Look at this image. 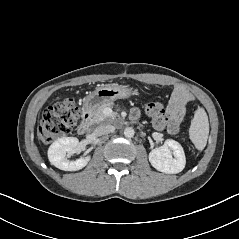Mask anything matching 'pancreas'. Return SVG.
I'll return each mask as SVG.
<instances>
[{"label":"pancreas","mask_w":239,"mask_h":239,"mask_svg":"<svg viewBox=\"0 0 239 239\" xmlns=\"http://www.w3.org/2000/svg\"><path fill=\"white\" fill-rule=\"evenodd\" d=\"M108 107H113V103H107L102 105L97 109V111L94 113L93 120L95 123H111L114 120L115 113H112L111 115H105L104 110Z\"/></svg>","instance_id":"1"}]
</instances>
